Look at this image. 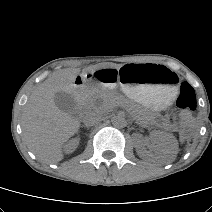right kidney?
I'll return each mask as SVG.
<instances>
[{
	"mask_svg": "<svg viewBox=\"0 0 212 212\" xmlns=\"http://www.w3.org/2000/svg\"><path fill=\"white\" fill-rule=\"evenodd\" d=\"M79 138H74L70 140L64 147L66 153H72L79 145Z\"/></svg>",
	"mask_w": 212,
	"mask_h": 212,
	"instance_id": "right-kidney-1",
	"label": "right kidney"
}]
</instances>
